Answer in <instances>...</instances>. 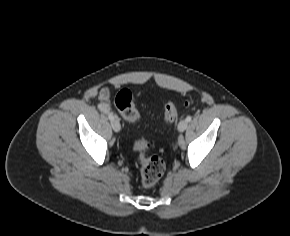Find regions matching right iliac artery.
<instances>
[{
  "label": "right iliac artery",
  "instance_id": "82829eb1",
  "mask_svg": "<svg viewBox=\"0 0 290 236\" xmlns=\"http://www.w3.org/2000/svg\"><path fill=\"white\" fill-rule=\"evenodd\" d=\"M108 118L112 121V120L114 119L113 114L110 113V114L108 115Z\"/></svg>",
  "mask_w": 290,
  "mask_h": 236
}]
</instances>
